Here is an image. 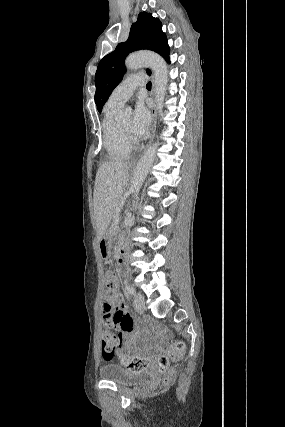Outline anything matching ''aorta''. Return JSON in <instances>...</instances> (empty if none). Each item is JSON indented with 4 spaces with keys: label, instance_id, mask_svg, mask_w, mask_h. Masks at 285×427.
<instances>
[{
    "label": "aorta",
    "instance_id": "1",
    "mask_svg": "<svg viewBox=\"0 0 285 427\" xmlns=\"http://www.w3.org/2000/svg\"><path fill=\"white\" fill-rule=\"evenodd\" d=\"M125 66L129 71L137 70L146 66L152 69L154 74L156 105L158 113L161 114L166 94V87L168 84V69L164 59L153 52H136L130 54L126 58ZM131 112V107H126L124 114L130 115ZM157 148L158 142L153 143L139 160L129 188V192L133 196H136L139 193L141 186L155 160Z\"/></svg>",
    "mask_w": 285,
    "mask_h": 427
}]
</instances>
